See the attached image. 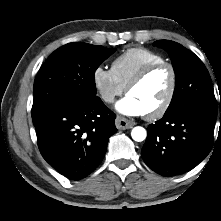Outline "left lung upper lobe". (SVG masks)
Here are the masks:
<instances>
[{"instance_id": "5c2ea615", "label": "left lung upper lobe", "mask_w": 221, "mask_h": 221, "mask_svg": "<svg viewBox=\"0 0 221 221\" xmlns=\"http://www.w3.org/2000/svg\"><path fill=\"white\" fill-rule=\"evenodd\" d=\"M153 44L167 50L176 75L175 91L166 113L185 105H197L217 114L211 78L202 61L176 42L159 40Z\"/></svg>"}]
</instances>
